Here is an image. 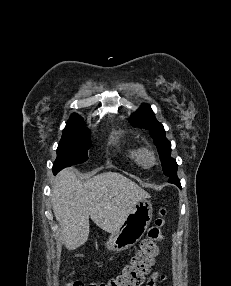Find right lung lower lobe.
Wrapping results in <instances>:
<instances>
[{
	"instance_id": "obj_1",
	"label": "right lung lower lobe",
	"mask_w": 231,
	"mask_h": 286,
	"mask_svg": "<svg viewBox=\"0 0 231 286\" xmlns=\"http://www.w3.org/2000/svg\"><path fill=\"white\" fill-rule=\"evenodd\" d=\"M53 173L56 174L57 172H55V171L53 170Z\"/></svg>"
}]
</instances>
